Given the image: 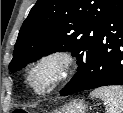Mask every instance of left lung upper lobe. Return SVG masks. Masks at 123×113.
Wrapping results in <instances>:
<instances>
[{
	"label": "left lung upper lobe",
	"mask_w": 123,
	"mask_h": 113,
	"mask_svg": "<svg viewBox=\"0 0 123 113\" xmlns=\"http://www.w3.org/2000/svg\"><path fill=\"white\" fill-rule=\"evenodd\" d=\"M113 0H38L24 21L15 44L12 72L57 51L76 56L78 72L61 91L80 83L90 66L103 19Z\"/></svg>",
	"instance_id": "5c2ea615"
}]
</instances>
